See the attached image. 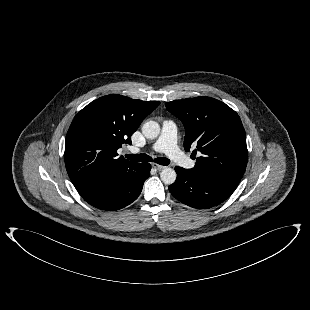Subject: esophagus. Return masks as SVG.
I'll list each match as a JSON object with an SVG mask.
<instances>
[{
	"label": "esophagus",
	"instance_id": "esophagus-1",
	"mask_svg": "<svg viewBox=\"0 0 310 310\" xmlns=\"http://www.w3.org/2000/svg\"><path fill=\"white\" fill-rule=\"evenodd\" d=\"M152 167L154 169L158 170V171L163 170L165 168V166H162V165H159V164H156V163H153Z\"/></svg>",
	"mask_w": 310,
	"mask_h": 310
}]
</instances>
